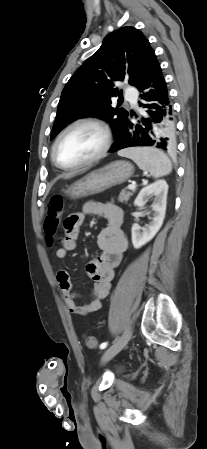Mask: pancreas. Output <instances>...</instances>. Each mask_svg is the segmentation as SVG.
Returning <instances> with one entry per match:
<instances>
[{
  "mask_svg": "<svg viewBox=\"0 0 207 449\" xmlns=\"http://www.w3.org/2000/svg\"><path fill=\"white\" fill-rule=\"evenodd\" d=\"M134 192H135V190H133V191L122 190L118 197L119 202L126 203L129 200V198L133 195Z\"/></svg>",
  "mask_w": 207,
  "mask_h": 449,
  "instance_id": "obj_1",
  "label": "pancreas"
}]
</instances>
